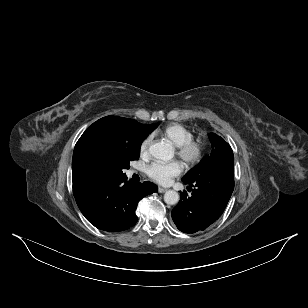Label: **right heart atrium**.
Instances as JSON below:
<instances>
[{
    "label": "right heart atrium",
    "mask_w": 308,
    "mask_h": 308,
    "mask_svg": "<svg viewBox=\"0 0 308 308\" xmlns=\"http://www.w3.org/2000/svg\"><path fill=\"white\" fill-rule=\"evenodd\" d=\"M149 144H150V137H147V138H145V139L142 141V143H141V145H140V154H141V155L144 156V155L147 154Z\"/></svg>",
    "instance_id": "right-heart-atrium-1"
}]
</instances>
